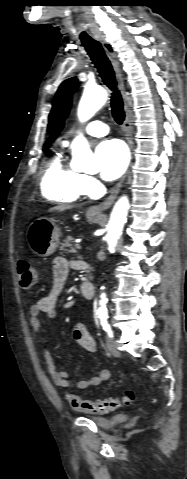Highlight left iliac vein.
Wrapping results in <instances>:
<instances>
[{
    "label": "left iliac vein",
    "instance_id": "obj_1",
    "mask_svg": "<svg viewBox=\"0 0 187 479\" xmlns=\"http://www.w3.org/2000/svg\"><path fill=\"white\" fill-rule=\"evenodd\" d=\"M106 345H107V349L113 356L115 357L120 356V352L117 348V344L112 338H107Z\"/></svg>",
    "mask_w": 187,
    "mask_h": 479
}]
</instances>
